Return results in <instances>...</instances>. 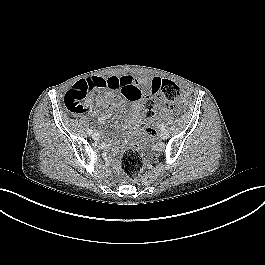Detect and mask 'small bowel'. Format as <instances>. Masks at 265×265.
<instances>
[{"label":"small bowel","mask_w":265,"mask_h":265,"mask_svg":"<svg viewBox=\"0 0 265 265\" xmlns=\"http://www.w3.org/2000/svg\"><path fill=\"white\" fill-rule=\"evenodd\" d=\"M160 77H153L152 79L140 78L134 79L131 76H117L112 75L108 77H92L89 81L98 82L96 89L108 90V95L103 96L99 93L90 95L84 104V111H91L92 105L97 104L105 108V113L102 114L101 120L104 121L110 111L120 107L122 99L115 94L116 91H120L124 98H127L132 104V116L127 122L126 127L136 129V127L142 122V106L144 93H152V83ZM143 89H141L140 87ZM82 112V113H83Z\"/></svg>","instance_id":"1"}]
</instances>
